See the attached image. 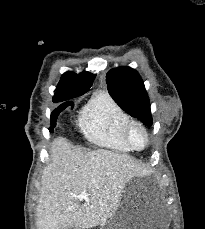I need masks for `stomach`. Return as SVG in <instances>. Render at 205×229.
I'll use <instances>...</instances> for the list:
<instances>
[{"label":"stomach","instance_id":"1","mask_svg":"<svg viewBox=\"0 0 205 229\" xmlns=\"http://www.w3.org/2000/svg\"><path fill=\"white\" fill-rule=\"evenodd\" d=\"M170 212L159 197L124 191L113 215L100 229H168Z\"/></svg>","mask_w":205,"mask_h":229}]
</instances>
